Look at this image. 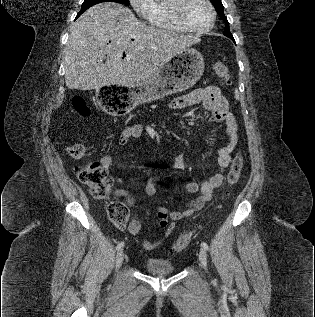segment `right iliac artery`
Here are the masks:
<instances>
[{
	"mask_svg": "<svg viewBox=\"0 0 315 317\" xmlns=\"http://www.w3.org/2000/svg\"><path fill=\"white\" fill-rule=\"evenodd\" d=\"M123 247H124V242H120V243L117 245L116 249H117V250H121Z\"/></svg>",
	"mask_w": 315,
	"mask_h": 317,
	"instance_id": "82829eb1",
	"label": "right iliac artery"
}]
</instances>
